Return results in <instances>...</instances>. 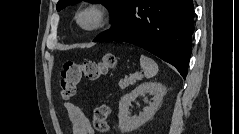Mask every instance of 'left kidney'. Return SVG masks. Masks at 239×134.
Masks as SVG:
<instances>
[{"label":"left kidney","mask_w":239,"mask_h":134,"mask_svg":"<svg viewBox=\"0 0 239 134\" xmlns=\"http://www.w3.org/2000/svg\"><path fill=\"white\" fill-rule=\"evenodd\" d=\"M143 94L153 95V102H150L149 106H146L139 116H130L129 106H131V102ZM165 94L166 87L161 83L145 82L129 94L124 95L119 102L118 128L120 131L122 133H129L149 121L157 111Z\"/></svg>","instance_id":"obj_1"}]
</instances>
